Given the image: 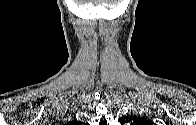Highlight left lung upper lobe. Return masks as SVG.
Instances as JSON below:
<instances>
[{
  "label": "left lung upper lobe",
  "mask_w": 196,
  "mask_h": 125,
  "mask_svg": "<svg viewBox=\"0 0 196 125\" xmlns=\"http://www.w3.org/2000/svg\"><path fill=\"white\" fill-rule=\"evenodd\" d=\"M133 122H134V125H141L142 123H145V120L141 118H137Z\"/></svg>",
  "instance_id": "left-lung-upper-lobe-1"
}]
</instances>
